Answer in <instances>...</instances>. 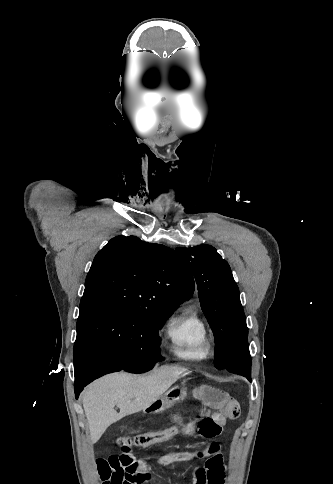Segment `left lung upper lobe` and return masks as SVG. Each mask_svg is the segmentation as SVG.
Returning a JSON list of instances; mask_svg holds the SVG:
<instances>
[{
	"label": "left lung upper lobe",
	"instance_id": "5c2ea615",
	"mask_svg": "<svg viewBox=\"0 0 333 484\" xmlns=\"http://www.w3.org/2000/svg\"><path fill=\"white\" fill-rule=\"evenodd\" d=\"M183 257L198 287L201 308L214 333L215 366L243 376H251V368L231 366V354L248 337L245 314L239 289L227 261L210 245L176 248Z\"/></svg>",
	"mask_w": 333,
	"mask_h": 484
}]
</instances>
